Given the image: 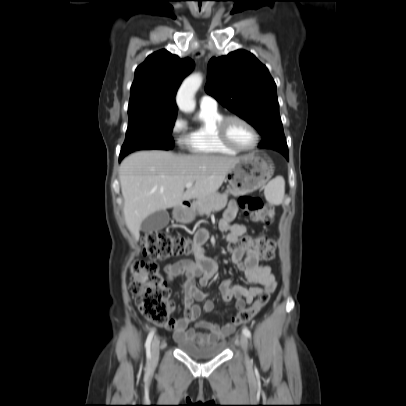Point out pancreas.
Listing matches in <instances>:
<instances>
[{
	"label": "pancreas",
	"mask_w": 406,
	"mask_h": 406,
	"mask_svg": "<svg viewBox=\"0 0 406 406\" xmlns=\"http://www.w3.org/2000/svg\"><path fill=\"white\" fill-rule=\"evenodd\" d=\"M228 191L224 194L215 193L212 196L205 198H198L194 203V209L199 212L200 215L210 213L212 211H220L227 205Z\"/></svg>",
	"instance_id": "cf45deb5"
}]
</instances>
